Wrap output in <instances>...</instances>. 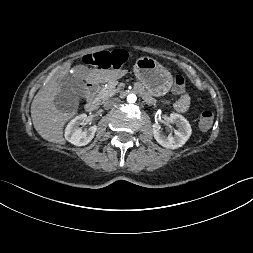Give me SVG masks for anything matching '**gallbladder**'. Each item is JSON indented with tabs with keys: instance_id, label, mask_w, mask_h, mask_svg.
<instances>
[{
	"instance_id": "bac80fb5",
	"label": "gallbladder",
	"mask_w": 253,
	"mask_h": 253,
	"mask_svg": "<svg viewBox=\"0 0 253 253\" xmlns=\"http://www.w3.org/2000/svg\"><path fill=\"white\" fill-rule=\"evenodd\" d=\"M59 84L62 90L55 95L54 105L61 112H75L79 101L86 94L84 81L75 75H68L61 79Z\"/></svg>"
}]
</instances>
